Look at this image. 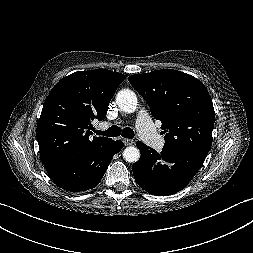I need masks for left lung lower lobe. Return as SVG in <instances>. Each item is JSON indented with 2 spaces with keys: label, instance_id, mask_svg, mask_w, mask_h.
<instances>
[{
  "label": "left lung lower lobe",
  "instance_id": "obj_1",
  "mask_svg": "<svg viewBox=\"0 0 253 253\" xmlns=\"http://www.w3.org/2000/svg\"><path fill=\"white\" fill-rule=\"evenodd\" d=\"M141 156L132 170L137 184L156 196H167L179 192L191 181L202 166L205 156L190 152L173 156L158 153L141 141H137Z\"/></svg>",
  "mask_w": 253,
  "mask_h": 253
}]
</instances>
